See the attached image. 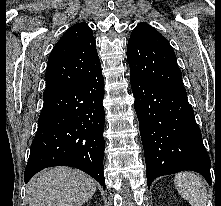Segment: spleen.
Returning a JSON list of instances; mask_svg holds the SVG:
<instances>
[{"label": "spleen", "mask_w": 221, "mask_h": 206, "mask_svg": "<svg viewBox=\"0 0 221 206\" xmlns=\"http://www.w3.org/2000/svg\"><path fill=\"white\" fill-rule=\"evenodd\" d=\"M174 183L180 195L191 206H206V185L198 175L182 172L175 176Z\"/></svg>", "instance_id": "spleen-1"}]
</instances>
